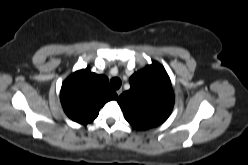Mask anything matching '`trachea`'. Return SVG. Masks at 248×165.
Returning a JSON list of instances; mask_svg holds the SVG:
<instances>
[{
	"instance_id": "trachea-1",
	"label": "trachea",
	"mask_w": 248,
	"mask_h": 165,
	"mask_svg": "<svg viewBox=\"0 0 248 165\" xmlns=\"http://www.w3.org/2000/svg\"><path fill=\"white\" fill-rule=\"evenodd\" d=\"M122 82L119 78L115 77V78H112L111 81H110V85L111 87L114 89V90H117L120 88Z\"/></svg>"
}]
</instances>
